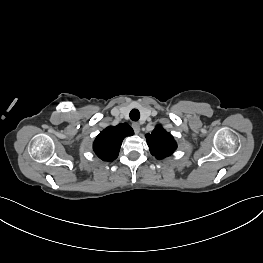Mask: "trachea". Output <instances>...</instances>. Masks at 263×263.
I'll use <instances>...</instances> for the list:
<instances>
[{"mask_svg": "<svg viewBox=\"0 0 263 263\" xmlns=\"http://www.w3.org/2000/svg\"><path fill=\"white\" fill-rule=\"evenodd\" d=\"M140 118V112L137 109H132L130 112V119L132 121H138Z\"/></svg>", "mask_w": 263, "mask_h": 263, "instance_id": "1", "label": "trachea"}]
</instances>
